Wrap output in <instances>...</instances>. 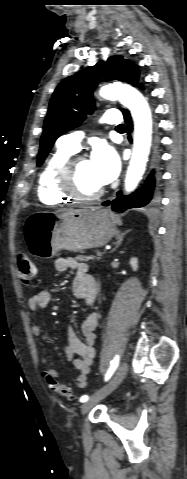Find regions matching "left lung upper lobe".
<instances>
[{
    "instance_id": "5c2ea615",
    "label": "left lung upper lobe",
    "mask_w": 187,
    "mask_h": 479,
    "mask_svg": "<svg viewBox=\"0 0 187 479\" xmlns=\"http://www.w3.org/2000/svg\"><path fill=\"white\" fill-rule=\"evenodd\" d=\"M101 77H104L105 81L118 80L137 86L139 71L128 59L113 56L106 63L101 61L64 79L54 91L50 101L37 156L38 166L44 162L60 135L79 126L87 114L93 113L92 92Z\"/></svg>"
}]
</instances>
